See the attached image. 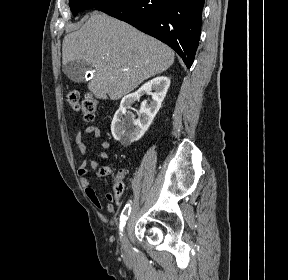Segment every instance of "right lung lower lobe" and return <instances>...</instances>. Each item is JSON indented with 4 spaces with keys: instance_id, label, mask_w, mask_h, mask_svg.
<instances>
[{
    "instance_id": "obj_1",
    "label": "right lung lower lobe",
    "mask_w": 288,
    "mask_h": 280,
    "mask_svg": "<svg viewBox=\"0 0 288 280\" xmlns=\"http://www.w3.org/2000/svg\"><path fill=\"white\" fill-rule=\"evenodd\" d=\"M204 0H115L95 9L169 45L190 68L198 47Z\"/></svg>"
}]
</instances>
